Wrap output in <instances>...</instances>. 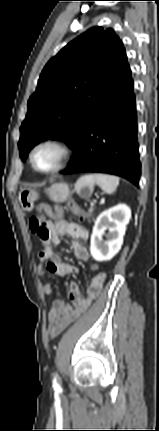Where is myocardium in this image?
<instances>
[{
  "label": "myocardium",
  "mask_w": 159,
  "mask_h": 431,
  "mask_svg": "<svg viewBox=\"0 0 159 431\" xmlns=\"http://www.w3.org/2000/svg\"><path fill=\"white\" fill-rule=\"evenodd\" d=\"M45 146L55 147L60 153L59 161L57 162V164L53 168H51L49 170L39 169L36 166L35 161H34L35 152L38 149L45 147ZM71 154H72V149L66 141H64L63 139L57 138V137H47V138H44V139L38 141L37 143H35L33 145V147L30 150V153H29V161H30L32 168L36 172L41 173V174H53V173L58 172L59 170H61L62 168H64L66 166V164L68 163V161L71 157Z\"/></svg>",
  "instance_id": "f54148a6"
}]
</instances>
